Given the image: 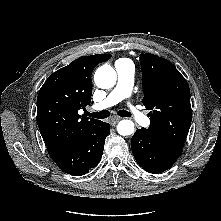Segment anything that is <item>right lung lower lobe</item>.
<instances>
[{
  "instance_id": "right-lung-lower-lobe-1",
  "label": "right lung lower lobe",
  "mask_w": 221,
  "mask_h": 221,
  "mask_svg": "<svg viewBox=\"0 0 221 221\" xmlns=\"http://www.w3.org/2000/svg\"><path fill=\"white\" fill-rule=\"evenodd\" d=\"M109 132L110 125L99 121L50 156L64 172L74 176L84 175L99 163Z\"/></svg>"
}]
</instances>
